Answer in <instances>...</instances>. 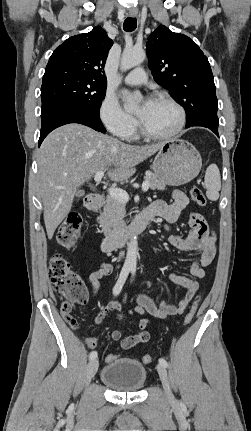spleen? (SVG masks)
Listing matches in <instances>:
<instances>
[{
    "label": "spleen",
    "mask_w": 251,
    "mask_h": 431,
    "mask_svg": "<svg viewBox=\"0 0 251 431\" xmlns=\"http://www.w3.org/2000/svg\"><path fill=\"white\" fill-rule=\"evenodd\" d=\"M204 182L207 188L206 195L208 199L216 201L219 198V191L221 189V177L216 164H211L208 166L205 173Z\"/></svg>",
    "instance_id": "spleen-1"
}]
</instances>
